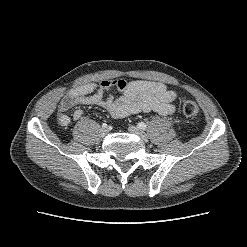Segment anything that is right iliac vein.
I'll return each instance as SVG.
<instances>
[{
	"label": "right iliac vein",
	"mask_w": 247,
	"mask_h": 247,
	"mask_svg": "<svg viewBox=\"0 0 247 247\" xmlns=\"http://www.w3.org/2000/svg\"><path fill=\"white\" fill-rule=\"evenodd\" d=\"M101 136L104 137L108 134V129L107 128H101L100 129Z\"/></svg>",
	"instance_id": "obj_1"
}]
</instances>
